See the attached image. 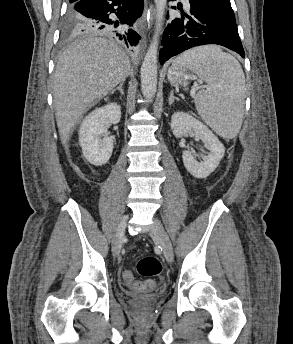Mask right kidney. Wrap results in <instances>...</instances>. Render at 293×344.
<instances>
[{
  "label": "right kidney",
  "instance_id": "obj_1",
  "mask_svg": "<svg viewBox=\"0 0 293 344\" xmlns=\"http://www.w3.org/2000/svg\"><path fill=\"white\" fill-rule=\"evenodd\" d=\"M120 118V106L110 103L96 108L83 119L79 130V144L90 164L102 166L110 159L113 140L109 137L107 125L119 123Z\"/></svg>",
  "mask_w": 293,
  "mask_h": 344
}]
</instances>
